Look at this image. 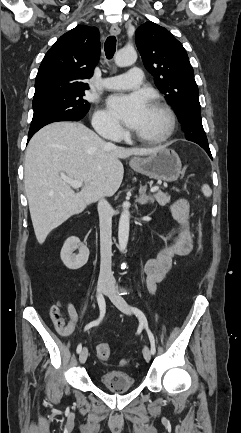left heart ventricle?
Listing matches in <instances>:
<instances>
[{
	"instance_id": "1",
	"label": "left heart ventricle",
	"mask_w": 241,
	"mask_h": 433,
	"mask_svg": "<svg viewBox=\"0 0 241 433\" xmlns=\"http://www.w3.org/2000/svg\"><path fill=\"white\" fill-rule=\"evenodd\" d=\"M168 127V118L161 110L150 106L148 114L136 132L147 136H158Z\"/></svg>"
}]
</instances>
